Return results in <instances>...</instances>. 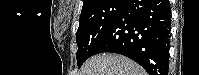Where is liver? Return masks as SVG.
Here are the masks:
<instances>
[{
  "instance_id": "6515ba94",
  "label": "liver",
  "mask_w": 199,
  "mask_h": 75,
  "mask_svg": "<svg viewBox=\"0 0 199 75\" xmlns=\"http://www.w3.org/2000/svg\"><path fill=\"white\" fill-rule=\"evenodd\" d=\"M79 75H147V73L125 56L104 53L88 59Z\"/></svg>"
}]
</instances>
